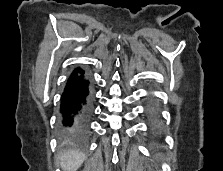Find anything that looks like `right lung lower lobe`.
<instances>
[{"label": "right lung lower lobe", "instance_id": "98d812e1", "mask_svg": "<svg viewBox=\"0 0 223 171\" xmlns=\"http://www.w3.org/2000/svg\"><path fill=\"white\" fill-rule=\"evenodd\" d=\"M84 71L75 69L61 97V134L68 138H84L90 114V93Z\"/></svg>", "mask_w": 223, "mask_h": 171}]
</instances>
